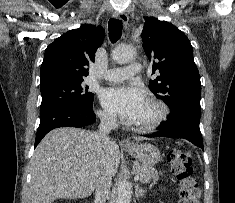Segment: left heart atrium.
Segmentation results:
<instances>
[{
	"label": "left heart atrium",
	"mask_w": 235,
	"mask_h": 203,
	"mask_svg": "<svg viewBox=\"0 0 235 203\" xmlns=\"http://www.w3.org/2000/svg\"><path fill=\"white\" fill-rule=\"evenodd\" d=\"M104 108L111 114L134 122L147 104L144 92L137 86H116L101 94Z\"/></svg>",
	"instance_id": "obj_1"
}]
</instances>
